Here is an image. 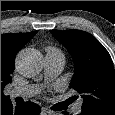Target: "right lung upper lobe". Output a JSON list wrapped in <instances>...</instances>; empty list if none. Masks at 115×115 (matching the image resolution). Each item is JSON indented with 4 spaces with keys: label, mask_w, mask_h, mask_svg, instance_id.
<instances>
[{
    "label": "right lung upper lobe",
    "mask_w": 115,
    "mask_h": 115,
    "mask_svg": "<svg viewBox=\"0 0 115 115\" xmlns=\"http://www.w3.org/2000/svg\"><path fill=\"white\" fill-rule=\"evenodd\" d=\"M36 33L33 31L1 35V104L10 101V97L4 95L3 89L11 82L16 54Z\"/></svg>",
    "instance_id": "obj_1"
}]
</instances>
